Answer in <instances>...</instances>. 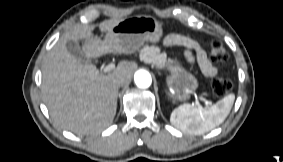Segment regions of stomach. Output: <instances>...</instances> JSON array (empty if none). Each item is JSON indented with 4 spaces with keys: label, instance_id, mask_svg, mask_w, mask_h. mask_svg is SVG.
Listing matches in <instances>:
<instances>
[{
    "label": "stomach",
    "instance_id": "1",
    "mask_svg": "<svg viewBox=\"0 0 283 162\" xmlns=\"http://www.w3.org/2000/svg\"><path fill=\"white\" fill-rule=\"evenodd\" d=\"M111 33L127 52H134L145 41L157 44L163 36V29L154 17L138 15L120 20ZM167 67L170 75L166 78V86L173 91L168 93L169 97L175 101L188 100L198 87L197 79L176 59H169Z\"/></svg>",
    "mask_w": 283,
    "mask_h": 162
}]
</instances>
